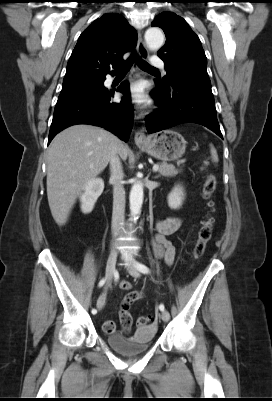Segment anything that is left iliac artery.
<instances>
[{"mask_svg": "<svg viewBox=\"0 0 272 401\" xmlns=\"http://www.w3.org/2000/svg\"><path fill=\"white\" fill-rule=\"evenodd\" d=\"M135 266H136V268H137L140 272H142V273H144V274L150 273L149 268H148L147 266H145L144 264L136 263ZM159 309H160L161 311H164V305H163V304H160Z\"/></svg>", "mask_w": 272, "mask_h": 401, "instance_id": "44dca946", "label": "left iliac artery"}]
</instances>
